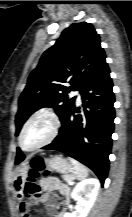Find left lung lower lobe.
Here are the masks:
<instances>
[{
  "instance_id": "obj_1",
  "label": "left lung lower lobe",
  "mask_w": 132,
  "mask_h": 217,
  "mask_svg": "<svg viewBox=\"0 0 132 217\" xmlns=\"http://www.w3.org/2000/svg\"><path fill=\"white\" fill-rule=\"evenodd\" d=\"M112 87L110 70L105 61L80 90L83 109H76L74 105L61 118L59 135L43 147L63 152L88 166L102 184L109 169L108 156L114 130L115 97ZM17 155L16 164H19L24 156H19V149Z\"/></svg>"
}]
</instances>
